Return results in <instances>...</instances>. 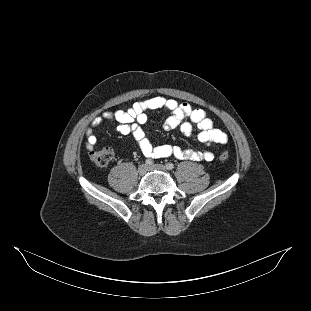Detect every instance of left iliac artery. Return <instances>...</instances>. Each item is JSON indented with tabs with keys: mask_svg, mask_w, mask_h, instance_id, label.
I'll use <instances>...</instances> for the list:
<instances>
[{
	"mask_svg": "<svg viewBox=\"0 0 311 311\" xmlns=\"http://www.w3.org/2000/svg\"><path fill=\"white\" fill-rule=\"evenodd\" d=\"M165 167L168 169V170H172L174 168V165L172 163H166Z\"/></svg>",
	"mask_w": 311,
	"mask_h": 311,
	"instance_id": "left-iliac-artery-1",
	"label": "left iliac artery"
}]
</instances>
